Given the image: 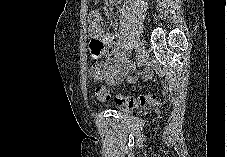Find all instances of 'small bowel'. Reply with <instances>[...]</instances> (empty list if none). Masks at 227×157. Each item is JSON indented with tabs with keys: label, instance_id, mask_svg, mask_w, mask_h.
Returning a JSON list of instances; mask_svg holds the SVG:
<instances>
[{
	"label": "small bowel",
	"instance_id": "1",
	"mask_svg": "<svg viewBox=\"0 0 227 157\" xmlns=\"http://www.w3.org/2000/svg\"><path fill=\"white\" fill-rule=\"evenodd\" d=\"M112 6H118L121 0H106ZM99 10H92L88 15L89 35L91 37L90 53L92 58H103L104 72L97 80H105L111 85H117L130 75L134 70V64L127 53L121 51L118 38L114 34H106Z\"/></svg>",
	"mask_w": 227,
	"mask_h": 157
}]
</instances>
